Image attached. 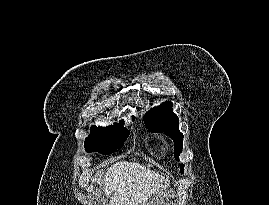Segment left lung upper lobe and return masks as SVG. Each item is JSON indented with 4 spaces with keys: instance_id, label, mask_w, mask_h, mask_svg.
<instances>
[{
    "instance_id": "5c2ea615",
    "label": "left lung upper lobe",
    "mask_w": 269,
    "mask_h": 205,
    "mask_svg": "<svg viewBox=\"0 0 269 205\" xmlns=\"http://www.w3.org/2000/svg\"><path fill=\"white\" fill-rule=\"evenodd\" d=\"M145 124L153 132H165L175 143V157L179 160V154L183 147V134L179 131V119L173 113L172 103L164 102L158 107L151 108L144 116ZM184 165H181V172Z\"/></svg>"
}]
</instances>
